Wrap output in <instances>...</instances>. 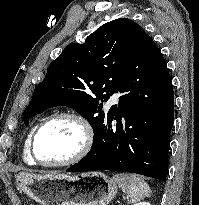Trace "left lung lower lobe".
Returning <instances> with one entry per match:
<instances>
[{
    "label": "left lung lower lobe",
    "mask_w": 199,
    "mask_h": 205,
    "mask_svg": "<svg viewBox=\"0 0 199 205\" xmlns=\"http://www.w3.org/2000/svg\"><path fill=\"white\" fill-rule=\"evenodd\" d=\"M119 93L118 108H110L111 120L94 138L92 149L66 171L113 170L165 181L174 122L173 85L163 55L146 33Z\"/></svg>",
    "instance_id": "left-lung-lower-lobe-1"
}]
</instances>
